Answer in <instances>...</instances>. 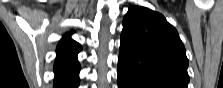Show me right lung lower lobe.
Segmentation results:
<instances>
[{
  "label": "right lung lower lobe",
  "mask_w": 223,
  "mask_h": 88,
  "mask_svg": "<svg viewBox=\"0 0 223 88\" xmlns=\"http://www.w3.org/2000/svg\"><path fill=\"white\" fill-rule=\"evenodd\" d=\"M78 85H79V80L66 81V80L57 78L54 81L55 88H77Z\"/></svg>",
  "instance_id": "1"
}]
</instances>
